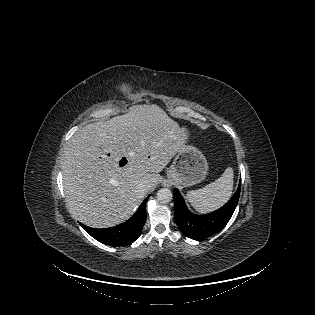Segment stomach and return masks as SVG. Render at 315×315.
Here are the masks:
<instances>
[{"label": "stomach", "instance_id": "1", "mask_svg": "<svg viewBox=\"0 0 315 315\" xmlns=\"http://www.w3.org/2000/svg\"><path fill=\"white\" fill-rule=\"evenodd\" d=\"M207 171L208 163L202 152L191 145H185L184 150L176 154L167 171V178L175 184L189 187L200 183Z\"/></svg>", "mask_w": 315, "mask_h": 315}]
</instances>
